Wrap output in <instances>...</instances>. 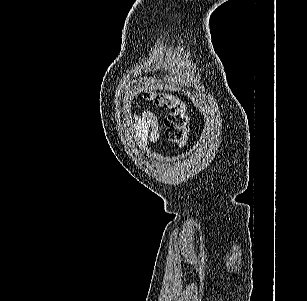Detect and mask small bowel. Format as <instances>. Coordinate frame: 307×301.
Returning a JSON list of instances; mask_svg holds the SVG:
<instances>
[{"instance_id":"1","label":"small bowel","mask_w":307,"mask_h":301,"mask_svg":"<svg viewBox=\"0 0 307 301\" xmlns=\"http://www.w3.org/2000/svg\"><path fill=\"white\" fill-rule=\"evenodd\" d=\"M136 131L144 143L157 142L160 138V131L156 115L149 110H143L136 119Z\"/></svg>"}]
</instances>
